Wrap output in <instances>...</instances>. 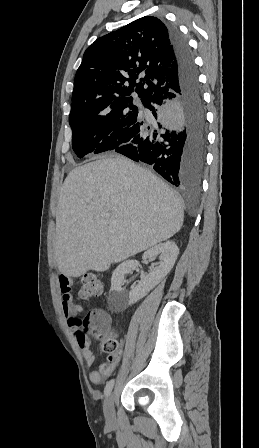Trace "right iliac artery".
I'll return each instance as SVG.
<instances>
[{
  "mask_svg": "<svg viewBox=\"0 0 259 448\" xmlns=\"http://www.w3.org/2000/svg\"><path fill=\"white\" fill-rule=\"evenodd\" d=\"M114 385V379L110 380L107 382L105 389H104V394L107 396L111 393V390L113 388Z\"/></svg>",
  "mask_w": 259,
  "mask_h": 448,
  "instance_id": "82829eb1",
  "label": "right iliac artery"
}]
</instances>
